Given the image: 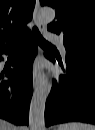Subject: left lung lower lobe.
I'll use <instances>...</instances> for the list:
<instances>
[{"instance_id":"obj_1","label":"left lung lower lobe","mask_w":95,"mask_h":130,"mask_svg":"<svg viewBox=\"0 0 95 130\" xmlns=\"http://www.w3.org/2000/svg\"><path fill=\"white\" fill-rule=\"evenodd\" d=\"M55 62L53 56L45 54ZM65 75L55 81L45 106V124L69 121L95 124V56L66 49Z\"/></svg>"}]
</instances>
